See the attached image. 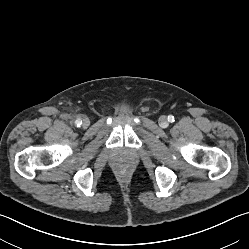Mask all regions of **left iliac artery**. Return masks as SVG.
Instances as JSON below:
<instances>
[{
	"label": "left iliac artery",
	"instance_id": "44dca946",
	"mask_svg": "<svg viewBox=\"0 0 249 249\" xmlns=\"http://www.w3.org/2000/svg\"><path fill=\"white\" fill-rule=\"evenodd\" d=\"M168 121L171 122V123L174 122V116L169 115L168 116Z\"/></svg>",
	"mask_w": 249,
	"mask_h": 249
}]
</instances>
